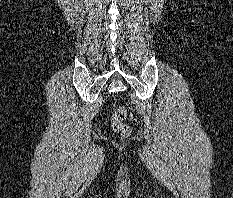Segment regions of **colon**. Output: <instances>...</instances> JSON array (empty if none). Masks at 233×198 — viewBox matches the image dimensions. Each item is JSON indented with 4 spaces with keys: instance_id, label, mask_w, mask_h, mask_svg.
Wrapping results in <instances>:
<instances>
[{
    "instance_id": "obj_1",
    "label": "colon",
    "mask_w": 233,
    "mask_h": 198,
    "mask_svg": "<svg viewBox=\"0 0 233 198\" xmlns=\"http://www.w3.org/2000/svg\"><path fill=\"white\" fill-rule=\"evenodd\" d=\"M127 109L124 106L118 107L111 116V126L114 131L122 136L130 134V127L125 123Z\"/></svg>"
}]
</instances>
